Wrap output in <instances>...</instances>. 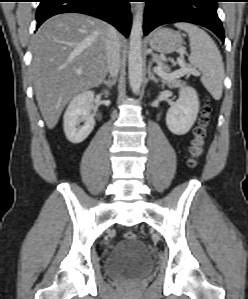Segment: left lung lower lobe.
I'll return each instance as SVG.
<instances>
[{
    "label": "left lung lower lobe",
    "mask_w": 248,
    "mask_h": 299,
    "mask_svg": "<svg viewBox=\"0 0 248 299\" xmlns=\"http://www.w3.org/2000/svg\"><path fill=\"white\" fill-rule=\"evenodd\" d=\"M144 34L154 28L174 22L204 26L224 42V30L217 15L218 0H144Z\"/></svg>",
    "instance_id": "obj_1"
}]
</instances>
